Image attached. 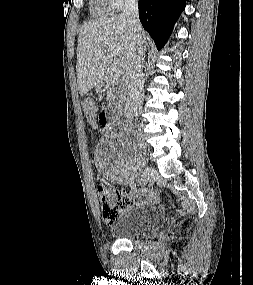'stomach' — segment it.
I'll use <instances>...</instances> for the list:
<instances>
[{
	"mask_svg": "<svg viewBox=\"0 0 253 285\" xmlns=\"http://www.w3.org/2000/svg\"><path fill=\"white\" fill-rule=\"evenodd\" d=\"M96 91H97V93L102 92V86L100 84L96 86Z\"/></svg>",
	"mask_w": 253,
	"mask_h": 285,
	"instance_id": "obj_1",
	"label": "stomach"
}]
</instances>
